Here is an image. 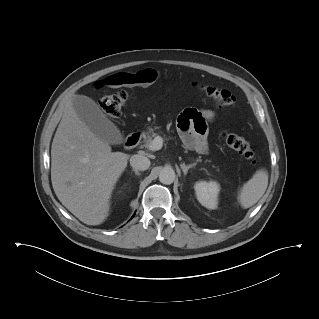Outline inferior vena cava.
Returning <instances> with one entry per match:
<instances>
[{
	"instance_id": "obj_1",
	"label": "inferior vena cava",
	"mask_w": 319,
	"mask_h": 319,
	"mask_svg": "<svg viewBox=\"0 0 319 319\" xmlns=\"http://www.w3.org/2000/svg\"><path fill=\"white\" fill-rule=\"evenodd\" d=\"M130 165L133 167V169L137 171L138 170L145 171L150 166V160L143 155L136 154L131 156Z\"/></svg>"
}]
</instances>
